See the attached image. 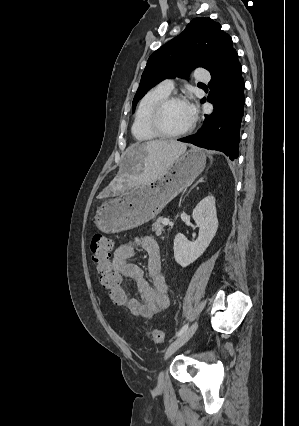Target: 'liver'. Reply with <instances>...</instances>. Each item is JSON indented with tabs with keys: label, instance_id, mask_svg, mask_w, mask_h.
Returning a JSON list of instances; mask_svg holds the SVG:
<instances>
[{
	"label": "liver",
	"instance_id": "liver-1",
	"mask_svg": "<svg viewBox=\"0 0 299 426\" xmlns=\"http://www.w3.org/2000/svg\"><path fill=\"white\" fill-rule=\"evenodd\" d=\"M186 148L185 143L174 140L132 144L126 151L121 170L129 168L133 172V175L126 176L130 177L134 185L147 184L161 177Z\"/></svg>",
	"mask_w": 299,
	"mask_h": 426
}]
</instances>
